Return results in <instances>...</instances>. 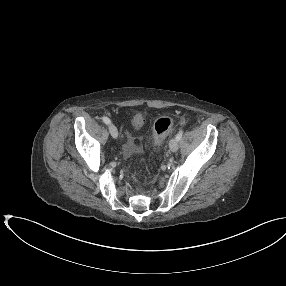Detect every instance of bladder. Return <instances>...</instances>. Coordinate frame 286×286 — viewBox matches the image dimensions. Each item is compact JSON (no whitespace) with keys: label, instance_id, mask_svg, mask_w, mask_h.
<instances>
[{"label":"bladder","instance_id":"bladder-1","mask_svg":"<svg viewBox=\"0 0 286 286\" xmlns=\"http://www.w3.org/2000/svg\"><path fill=\"white\" fill-rule=\"evenodd\" d=\"M136 120H137L136 118L133 119L134 124H136Z\"/></svg>","mask_w":286,"mask_h":286}]
</instances>
